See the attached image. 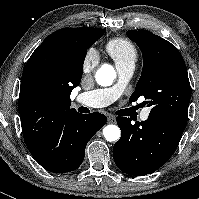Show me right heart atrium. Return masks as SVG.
I'll use <instances>...</instances> for the list:
<instances>
[{
  "instance_id": "right-heart-atrium-1",
  "label": "right heart atrium",
  "mask_w": 199,
  "mask_h": 199,
  "mask_svg": "<svg viewBox=\"0 0 199 199\" xmlns=\"http://www.w3.org/2000/svg\"><path fill=\"white\" fill-rule=\"evenodd\" d=\"M98 62V55L94 49H89L87 53L85 54V57L83 59V70L90 71L92 70Z\"/></svg>"
}]
</instances>
